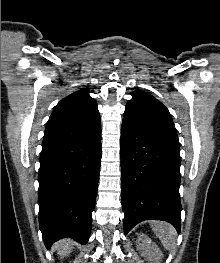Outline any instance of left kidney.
Instances as JSON below:
<instances>
[{
    "label": "left kidney",
    "instance_id": "left-kidney-1",
    "mask_svg": "<svg viewBox=\"0 0 220 263\" xmlns=\"http://www.w3.org/2000/svg\"><path fill=\"white\" fill-rule=\"evenodd\" d=\"M136 246L153 263H159L163 256L158 246L146 234H138Z\"/></svg>",
    "mask_w": 220,
    "mask_h": 263
}]
</instances>
